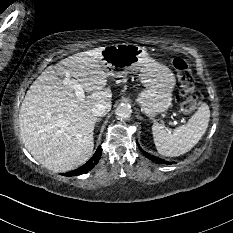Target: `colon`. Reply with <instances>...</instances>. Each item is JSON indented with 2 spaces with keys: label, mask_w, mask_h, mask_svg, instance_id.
Wrapping results in <instances>:
<instances>
[{
  "label": "colon",
  "mask_w": 233,
  "mask_h": 233,
  "mask_svg": "<svg viewBox=\"0 0 233 233\" xmlns=\"http://www.w3.org/2000/svg\"><path fill=\"white\" fill-rule=\"evenodd\" d=\"M171 64L177 74L179 84L177 102L184 112H193L198 105V99L193 92L194 79L192 71L187 62L180 57H174Z\"/></svg>",
  "instance_id": "colon-1"
}]
</instances>
